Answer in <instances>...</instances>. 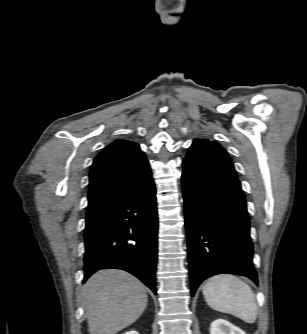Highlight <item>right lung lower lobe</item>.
<instances>
[{
  "label": "right lung lower lobe",
  "instance_id": "1",
  "mask_svg": "<svg viewBox=\"0 0 307 334\" xmlns=\"http://www.w3.org/2000/svg\"><path fill=\"white\" fill-rule=\"evenodd\" d=\"M158 218L153 180L86 225L84 280L103 268L138 277L155 294Z\"/></svg>",
  "mask_w": 307,
  "mask_h": 334
}]
</instances>
